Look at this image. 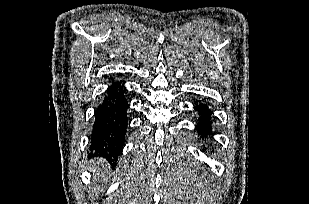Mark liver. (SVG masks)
Segmentation results:
<instances>
[{
  "mask_svg": "<svg viewBox=\"0 0 309 204\" xmlns=\"http://www.w3.org/2000/svg\"><path fill=\"white\" fill-rule=\"evenodd\" d=\"M91 167L95 171V175L97 177H103L105 173L108 172V169H109L107 162L104 159H99V158H97V160L92 163L90 168Z\"/></svg>",
  "mask_w": 309,
  "mask_h": 204,
  "instance_id": "obj_1",
  "label": "liver"
}]
</instances>
